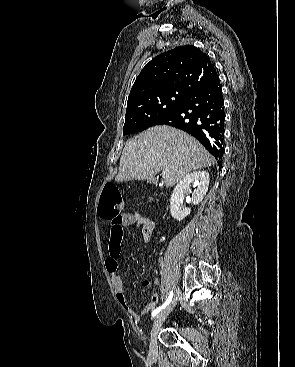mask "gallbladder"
Returning a JSON list of instances; mask_svg holds the SVG:
<instances>
[{
	"label": "gallbladder",
	"mask_w": 295,
	"mask_h": 367,
	"mask_svg": "<svg viewBox=\"0 0 295 367\" xmlns=\"http://www.w3.org/2000/svg\"><path fill=\"white\" fill-rule=\"evenodd\" d=\"M148 182H149V183H156V181H155V180H149Z\"/></svg>",
	"instance_id": "gallbladder-1"
}]
</instances>
